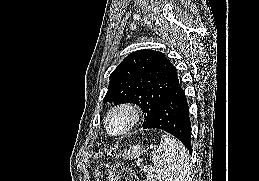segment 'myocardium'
<instances>
[{"label":"myocardium","mask_w":259,"mask_h":181,"mask_svg":"<svg viewBox=\"0 0 259 181\" xmlns=\"http://www.w3.org/2000/svg\"><path fill=\"white\" fill-rule=\"evenodd\" d=\"M116 116H123L125 121L120 129L113 130L111 126V121ZM139 120V109L132 103L122 102L111 107L110 110L106 113L104 118V127L109 135L118 137L125 135L130 130H132L139 122Z\"/></svg>","instance_id":"obj_1"}]
</instances>
